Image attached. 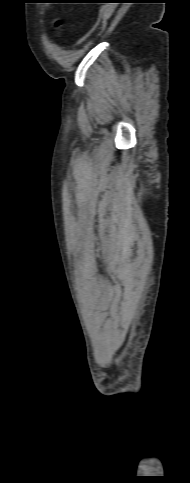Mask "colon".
I'll return each instance as SVG.
<instances>
[{
  "label": "colon",
  "instance_id": "obj_1",
  "mask_svg": "<svg viewBox=\"0 0 190 483\" xmlns=\"http://www.w3.org/2000/svg\"><path fill=\"white\" fill-rule=\"evenodd\" d=\"M54 25L56 28H59L61 23H60V20L59 19H56L55 22H54Z\"/></svg>",
  "mask_w": 190,
  "mask_h": 483
}]
</instances>
